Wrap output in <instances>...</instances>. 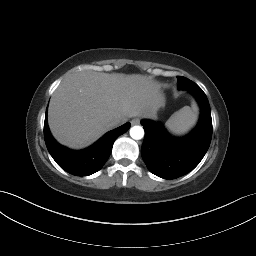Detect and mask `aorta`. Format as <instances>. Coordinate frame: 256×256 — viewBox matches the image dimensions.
Instances as JSON below:
<instances>
[{
	"mask_svg": "<svg viewBox=\"0 0 256 256\" xmlns=\"http://www.w3.org/2000/svg\"><path fill=\"white\" fill-rule=\"evenodd\" d=\"M130 136L135 140H140L144 137V129L142 126L136 125L131 127Z\"/></svg>",
	"mask_w": 256,
	"mask_h": 256,
	"instance_id": "aorta-1",
	"label": "aorta"
}]
</instances>
